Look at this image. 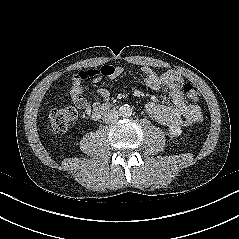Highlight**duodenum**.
<instances>
[{"mask_svg":"<svg viewBox=\"0 0 239 239\" xmlns=\"http://www.w3.org/2000/svg\"><path fill=\"white\" fill-rule=\"evenodd\" d=\"M107 112V107H101V108H98V109H95L93 112H92V118L93 119H99L101 116H103L105 113Z\"/></svg>","mask_w":239,"mask_h":239,"instance_id":"obj_1","label":"duodenum"}]
</instances>
